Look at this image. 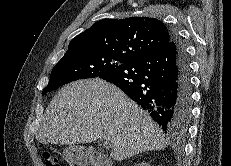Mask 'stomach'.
Returning a JSON list of instances; mask_svg holds the SVG:
<instances>
[{
    "label": "stomach",
    "instance_id": "0dacf381",
    "mask_svg": "<svg viewBox=\"0 0 231 166\" xmlns=\"http://www.w3.org/2000/svg\"><path fill=\"white\" fill-rule=\"evenodd\" d=\"M63 153L68 160L80 165H83L88 161L87 153L83 147L69 145L68 147H65Z\"/></svg>",
    "mask_w": 231,
    "mask_h": 166
}]
</instances>
